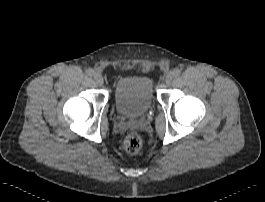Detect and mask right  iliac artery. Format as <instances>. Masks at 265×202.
<instances>
[{
  "mask_svg": "<svg viewBox=\"0 0 265 202\" xmlns=\"http://www.w3.org/2000/svg\"><path fill=\"white\" fill-rule=\"evenodd\" d=\"M94 70L93 69H87L86 70V74L88 75V76H93L94 75Z\"/></svg>",
  "mask_w": 265,
  "mask_h": 202,
  "instance_id": "right-iliac-artery-1",
  "label": "right iliac artery"
}]
</instances>
